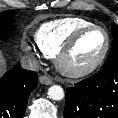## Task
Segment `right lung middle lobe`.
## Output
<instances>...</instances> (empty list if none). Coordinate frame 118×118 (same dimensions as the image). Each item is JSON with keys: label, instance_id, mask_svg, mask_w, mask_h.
I'll use <instances>...</instances> for the list:
<instances>
[{"label": "right lung middle lobe", "instance_id": "1", "mask_svg": "<svg viewBox=\"0 0 118 118\" xmlns=\"http://www.w3.org/2000/svg\"><path fill=\"white\" fill-rule=\"evenodd\" d=\"M13 15L14 12L12 11L0 12V29H4L7 27Z\"/></svg>", "mask_w": 118, "mask_h": 118}]
</instances>
